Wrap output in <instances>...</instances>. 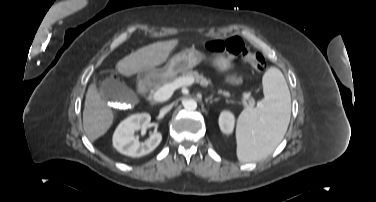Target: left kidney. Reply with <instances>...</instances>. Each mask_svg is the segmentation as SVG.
Masks as SVG:
<instances>
[{
	"label": "left kidney",
	"mask_w": 376,
	"mask_h": 202,
	"mask_svg": "<svg viewBox=\"0 0 376 202\" xmlns=\"http://www.w3.org/2000/svg\"><path fill=\"white\" fill-rule=\"evenodd\" d=\"M234 115L228 111H224L221 113L219 117V126L223 133L231 134L234 129Z\"/></svg>",
	"instance_id": "obj_1"
}]
</instances>
